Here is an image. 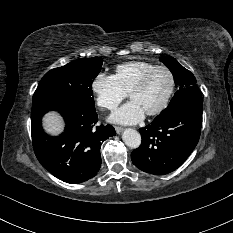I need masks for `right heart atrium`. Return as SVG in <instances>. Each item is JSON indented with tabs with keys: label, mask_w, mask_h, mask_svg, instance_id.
Segmentation results:
<instances>
[{
	"label": "right heart atrium",
	"mask_w": 233,
	"mask_h": 233,
	"mask_svg": "<svg viewBox=\"0 0 233 233\" xmlns=\"http://www.w3.org/2000/svg\"><path fill=\"white\" fill-rule=\"evenodd\" d=\"M90 87L96 104L103 109H114L127 95L113 75L103 72L93 77Z\"/></svg>",
	"instance_id": "1"
}]
</instances>
